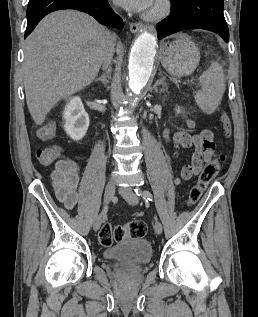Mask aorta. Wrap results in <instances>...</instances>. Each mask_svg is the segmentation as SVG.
Returning <instances> with one entry per match:
<instances>
[{
	"label": "aorta",
	"mask_w": 258,
	"mask_h": 317,
	"mask_svg": "<svg viewBox=\"0 0 258 317\" xmlns=\"http://www.w3.org/2000/svg\"><path fill=\"white\" fill-rule=\"evenodd\" d=\"M157 38L144 32L134 42L129 56V88L138 95L151 76L156 55Z\"/></svg>",
	"instance_id": "1"
}]
</instances>
